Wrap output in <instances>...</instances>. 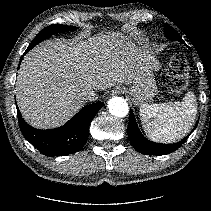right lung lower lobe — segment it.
<instances>
[{
  "label": "right lung lower lobe",
  "mask_w": 211,
  "mask_h": 211,
  "mask_svg": "<svg viewBox=\"0 0 211 211\" xmlns=\"http://www.w3.org/2000/svg\"><path fill=\"white\" fill-rule=\"evenodd\" d=\"M102 107V102L87 105L64 126L50 130H40L28 125L18 107L17 114L20 130L29 143L46 156H63L76 153L83 148L89 134L90 123Z\"/></svg>",
  "instance_id": "obj_1"
}]
</instances>
